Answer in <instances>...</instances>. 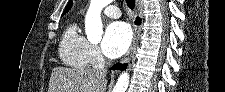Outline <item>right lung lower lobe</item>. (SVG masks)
Here are the masks:
<instances>
[{
  "label": "right lung lower lobe",
  "instance_id": "1",
  "mask_svg": "<svg viewBox=\"0 0 225 92\" xmlns=\"http://www.w3.org/2000/svg\"><path fill=\"white\" fill-rule=\"evenodd\" d=\"M136 24H140L139 18L136 19ZM126 66H127V64H116V65L112 66V69L124 70V69H126Z\"/></svg>",
  "mask_w": 225,
  "mask_h": 92
}]
</instances>
